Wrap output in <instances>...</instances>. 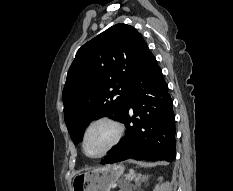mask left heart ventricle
<instances>
[{
    "mask_svg": "<svg viewBox=\"0 0 233 191\" xmlns=\"http://www.w3.org/2000/svg\"><path fill=\"white\" fill-rule=\"evenodd\" d=\"M114 135L108 124H97L92 127L86 137L85 147L90 155L100 154L110 143Z\"/></svg>",
    "mask_w": 233,
    "mask_h": 191,
    "instance_id": "left-heart-ventricle-1",
    "label": "left heart ventricle"
}]
</instances>
